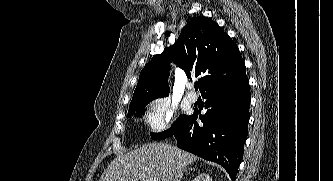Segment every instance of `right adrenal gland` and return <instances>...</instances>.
<instances>
[{
    "instance_id": "1",
    "label": "right adrenal gland",
    "mask_w": 333,
    "mask_h": 181,
    "mask_svg": "<svg viewBox=\"0 0 333 181\" xmlns=\"http://www.w3.org/2000/svg\"><path fill=\"white\" fill-rule=\"evenodd\" d=\"M194 170H195V168H188L185 170V172H186V174H188L190 171H194Z\"/></svg>"
}]
</instances>
